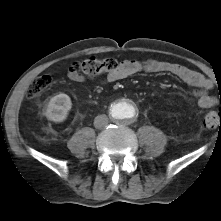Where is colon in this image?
I'll use <instances>...</instances> for the list:
<instances>
[{"label":"colon","instance_id":"obj_1","mask_svg":"<svg viewBox=\"0 0 221 221\" xmlns=\"http://www.w3.org/2000/svg\"><path fill=\"white\" fill-rule=\"evenodd\" d=\"M120 66V62L114 58L89 57L82 61L75 62L73 69L87 77L95 78L101 75H110ZM52 84L50 76H40L29 86L27 95L31 98L39 96ZM202 124L207 129L221 127V111L210 110L205 113Z\"/></svg>","mask_w":221,"mask_h":221}]
</instances>
